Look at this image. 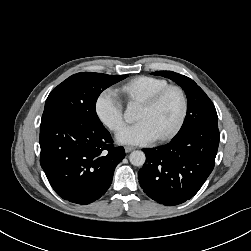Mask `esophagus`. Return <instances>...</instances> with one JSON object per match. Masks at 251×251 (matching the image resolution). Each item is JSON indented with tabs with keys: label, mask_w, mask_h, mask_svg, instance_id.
Segmentation results:
<instances>
[{
	"label": "esophagus",
	"mask_w": 251,
	"mask_h": 251,
	"mask_svg": "<svg viewBox=\"0 0 251 251\" xmlns=\"http://www.w3.org/2000/svg\"><path fill=\"white\" fill-rule=\"evenodd\" d=\"M124 149L126 153H129L134 150V147L126 146Z\"/></svg>",
	"instance_id": "34e87169"
}]
</instances>
